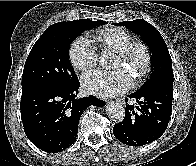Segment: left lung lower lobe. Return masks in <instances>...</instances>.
<instances>
[{"label":"left lung lower lobe","mask_w":196,"mask_h":166,"mask_svg":"<svg viewBox=\"0 0 196 166\" xmlns=\"http://www.w3.org/2000/svg\"><path fill=\"white\" fill-rule=\"evenodd\" d=\"M128 97L140 106L126 104L125 118L114 126V136L129 146H143L161 137L171 116L173 86L153 85Z\"/></svg>","instance_id":"obj_1"}]
</instances>
